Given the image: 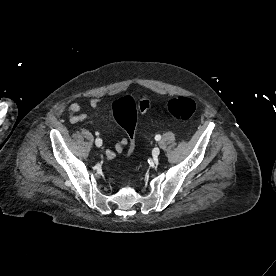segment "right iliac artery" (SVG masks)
<instances>
[{
	"label": "right iliac artery",
	"mask_w": 276,
	"mask_h": 276,
	"mask_svg": "<svg viewBox=\"0 0 276 276\" xmlns=\"http://www.w3.org/2000/svg\"><path fill=\"white\" fill-rule=\"evenodd\" d=\"M96 135H98V133H96ZM100 144L102 145V140H101Z\"/></svg>",
	"instance_id": "82829eb1"
}]
</instances>
